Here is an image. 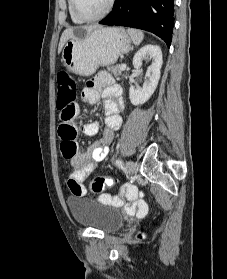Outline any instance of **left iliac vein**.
Listing matches in <instances>:
<instances>
[{
    "mask_svg": "<svg viewBox=\"0 0 227 279\" xmlns=\"http://www.w3.org/2000/svg\"><path fill=\"white\" fill-rule=\"evenodd\" d=\"M125 167H126V171H127L128 174L132 175V174L135 173L136 165L133 161L127 160L126 164H125Z\"/></svg>",
    "mask_w": 227,
    "mask_h": 279,
    "instance_id": "obj_1",
    "label": "left iliac vein"
}]
</instances>
